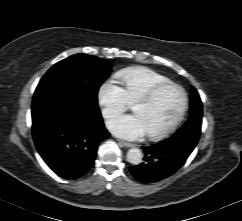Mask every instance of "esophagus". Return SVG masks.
<instances>
[{
  "instance_id": "34e87169",
  "label": "esophagus",
  "mask_w": 242,
  "mask_h": 221,
  "mask_svg": "<svg viewBox=\"0 0 242 221\" xmlns=\"http://www.w3.org/2000/svg\"><path fill=\"white\" fill-rule=\"evenodd\" d=\"M119 143L124 146V147H127V148H131L134 146V144L132 143H129V142H126V141H123V140H119Z\"/></svg>"
}]
</instances>
